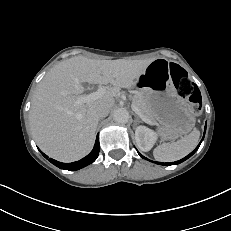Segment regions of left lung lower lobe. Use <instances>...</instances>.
Instances as JSON below:
<instances>
[{"instance_id": "obj_1", "label": "left lung lower lobe", "mask_w": 231, "mask_h": 231, "mask_svg": "<svg viewBox=\"0 0 231 231\" xmlns=\"http://www.w3.org/2000/svg\"><path fill=\"white\" fill-rule=\"evenodd\" d=\"M205 130H206V125H205ZM204 134H205V131H204ZM203 138H204V136H203ZM203 138H202V140H203ZM202 140H201V142H202ZM201 142H200V143H201ZM200 143H199V145L196 147V149H195L194 151H192L189 155H187V156L184 157L183 159H181V160H179V161H176L175 163H173V162H171V163H159V162H155V163L161 164V165H166V166L174 165V164H179V163L185 161L186 159H188L189 157H191V156L196 152V150L199 148ZM138 154H139L142 158L147 159V158H145L143 155H141L139 152H138Z\"/></svg>"}]
</instances>
